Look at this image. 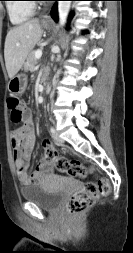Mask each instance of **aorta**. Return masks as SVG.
<instances>
[{
	"mask_svg": "<svg viewBox=\"0 0 133 253\" xmlns=\"http://www.w3.org/2000/svg\"><path fill=\"white\" fill-rule=\"evenodd\" d=\"M71 1H59L58 2V16L59 25L64 27L67 22Z\"/></svg>",
	"mask_w": 133,
	"mask_h": 253,
	"instance_id": "762f6f07",
	"label": "aorta"
}]
</instances>
